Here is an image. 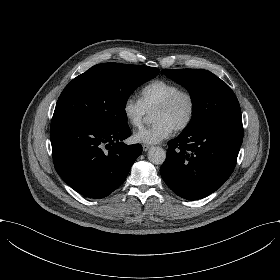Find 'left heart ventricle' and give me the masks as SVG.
<instances>
[{
	"label": "left heart ventricle",
	"mask_w": 280,
	"mask_h": 280,
	"mask_svg": "<svg viewBox=\"0 0 280 280\" xmlns=\"http://www.w3.org/2000/svg\"><path fill=\"white\" fill-rule=\"evenodd\" d=\"M190 111V101L187 97H181L176 104L165 110H155L152 114L154 122L165 120L174 127L183 122Z\"/></svg>",
	"instance_id": "obj_1"
}]
</instances>
